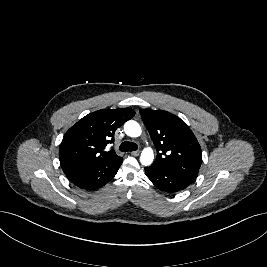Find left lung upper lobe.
<instances>
[{
  "instance_id": "obj_1",
  "label": "left lung upper lobe",
  "mask_w": 267,
  "mask_h": 267,
  "mask_svg": "<svg viewBox=\"0 0 267 267\" xmlns=\"http://www.w3.org/2000/svg\"><path fill=\"white\" fill-rule=\"evenodd\" d=\"M140 114L157 151L153 165L196 179L202 151L190 128L167 111L141 109Z\"/></svg>"
}]
</instances>
